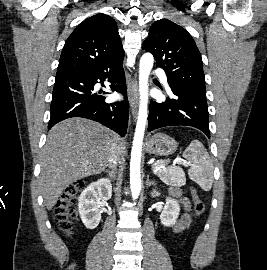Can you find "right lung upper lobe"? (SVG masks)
I'll list each match as a JSON object with an SVG mask.
<instances>
[{"mask_svg":"<svg viewBox=\"0 0 267 270\" xmlns=\"http://www.w3.org/2000/svg\"><path fill=\"white\" fill-rule=\"evenodd\" d=\"M124 58L115 20L97 14L79 24L63 47L57 74L90 69Z\"/></svg>","mask_w":267,"mask_h":270,"instance_id":"obj_1","label":"right lung upper lobe"}]
</instances>
